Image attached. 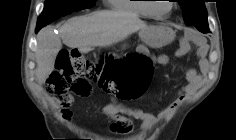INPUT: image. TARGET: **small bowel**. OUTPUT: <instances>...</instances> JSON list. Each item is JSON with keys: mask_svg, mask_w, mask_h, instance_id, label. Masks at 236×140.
<instances>
[{"mask_svg": "<svg viewBox=\"0 0 236 140\" xmlns=\"http://www.w3.org/2000/svg\"><path fill=\"white\" fill-rule=\"evenodd\" d=\"M191 36V33H189ZM187 50V43L182 42L179 55H183ZM198 56L204 61L202 51L198 52ZM150 61L154 65H166L169 62L167 55L160 54L150 56ZM203 77L194 68L186 72V83L180 88L176 98L169 103L159 114L155 115L140 108L127 107L120 104H109L103 108V114L112 120L110 130L117 135L132 136L134 133V122H141V129L145 135L149 134L160 122L168 119L180 107L184 100L199 89L202 85ZM72 101L69 100L63 103L61 115L65 120H70L72 112L70 110Z\"/></svg>", "mask_w": 236, "mask_h": 140, "instance_id": "c3829d8e", "label": "small bowel"}]
</instances>
